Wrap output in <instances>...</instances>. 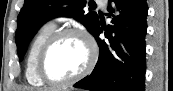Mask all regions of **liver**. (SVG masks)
I'll list each match as a JSON object with an SVG mask.
<instances>
[{
  "instance_id": "1",
  "label": "liver",
  "mask_w": 173,
  "mask_h": 91,
  "mask_svg": "<svg viewBox=\"0 0 173 91\" xmlns=\"http://www.w3.org/2000/svg\"><path fill=\"white\" fill-rule=\"evenodd\" d=\"M26 91H33V90H32V88H27V90H26Z\"/></svg>"
}]
</instances>
